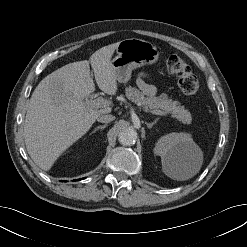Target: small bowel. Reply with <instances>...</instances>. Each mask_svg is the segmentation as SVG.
Listing matches in <instances>:
<instances>
[{
	"mask_svg": "<svg viewBox=\"0 0 247 247\" xmlns=\"http://www.w3.org/2000/svg\"><path fill=\"white\" fill-rule=\"evenodd\" d=\"M145 78H146L145 73H141L138 76V80H137L138 86L145 95L149 97H153L156 94V89L153 85L148 84L145 81Z\"/></svg>",
	"mask_w": 247,
	"mask_h": 247,
	"instance_id": "1",
	"label": "small bowel"
}]
</instances>
